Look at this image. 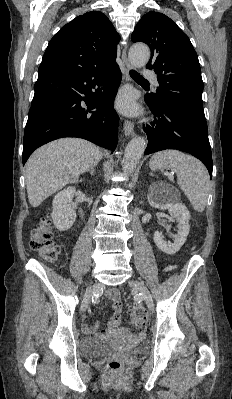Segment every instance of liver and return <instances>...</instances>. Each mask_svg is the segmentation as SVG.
Wrapping results in <instances>:
<instances>
[{"label": "liver", "instance_id": "6515ba94", "mask_svg": "<svg viewBox=\"0 0 232 399\" xmlns=\"http://www.w3.org/2000/svg\"><path fill=\"white\" fill-rule=\"evenodd\" d=\"M101 158L97 146L78 138H62L38 148L25 166L29 203L38 207L67 184H75L80 174L97 166Z\"/></svg>", "mask_w": 232, "mask_h": 399}]
</instances>
